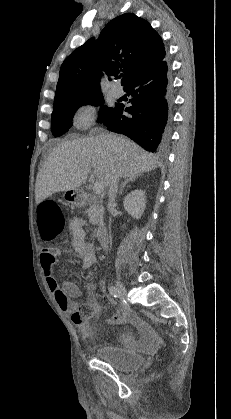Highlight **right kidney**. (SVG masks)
I'll return each mask as SVG.
<instances>
[{
	"label": "right kidney",
	"mask_w": 231,
	"mask_h": 419,
	"mask_svg": "<svg viewBox=\"0 0 231 419\" xmlns=\"http://www.w3.org/2000/svg\"><path fill=\"white\" fill-rule=\"evenodd\" d=\"M124 209L133 218L140 219L146 207V193L141 189L127 194L123 200Z\"/></svg>",
	"instance_id": "right-kidney-1"
}]
</instances>
